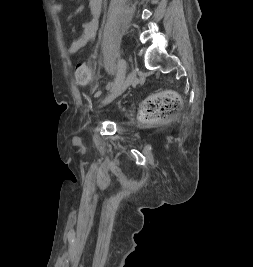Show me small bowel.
Listing matches in <instances>:
<instances>
[{
  "label": "small bowel",
  "instance_id": "1",
  "mask_svg": "<svg viewBox=\"0 0 253 267\" xmlns=\"http://www.w3.org/2000/svg\"><path fill=\"white\" fill-rule=\"evenodd\" d=\"M89 8L90 16L88 20L82 24L79 37L73 40L68 47V52L70 54L77 53L92 41L96 35L102 8V0H89ZM62 9L63 6L60 3H54L52 5V11L55 14H60Z\"/></svg>",
  "mask_w": 253,
  "mask_h": 267
}]
</instances>
